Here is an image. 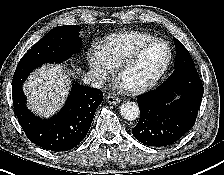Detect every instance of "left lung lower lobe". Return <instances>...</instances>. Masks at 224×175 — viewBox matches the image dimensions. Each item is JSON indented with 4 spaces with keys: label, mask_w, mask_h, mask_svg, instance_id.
<instances>
[{
    "label": "left lung lower lobe",
    "mask_w": 224,
    "mask_h": 175,
    "mask_svg": "<svg viewBox=\"0 0 224 175\" xmlns=\"http://www.w3.org/2000/svg\"><path fill=\"white\" fill-rule=\"evenodd\" d=\"M203 92L195 65L176 67L159 87L137 97L141 115L134 137L154 147L178 141L194 126Z\"/></svg>",
    "instance_id": "obj_1"
}]
</instances>
